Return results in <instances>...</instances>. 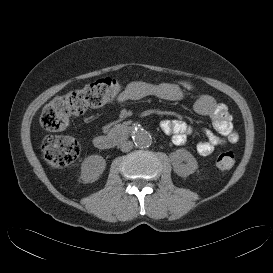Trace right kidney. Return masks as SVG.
Wrapping results in <instances>:
<instances>
[{"label": "right kidney", "instance_id": "1", "mask_svg": "<svg viewBox=\"0 0 273 273\" xmlns=\"http://www.w3.org/2000/svg\"><path fill=\"white\" fill-rule=\"evenodd\" d=\"M106 167V161L102 156L90 155L84 159L81 166V178L84 182L90 183L96 181L103 173Z\"/></svg>", "mask_w": 273, "mask_h": 273}]
</instances>
